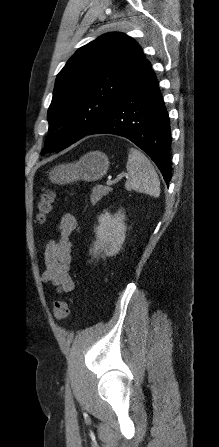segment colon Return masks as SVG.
I'll list each match as a JSON object with an SVG mask.
<instances>
[{
	"mask_svg": "<svg viewBox=\"0 0 219 447\" xmlns=\"http://www.w3.org/2000/svg\"><path fill=\"white\" fill-rule=\"evenodd\" d=\"M55 195L51 190H44L37 204V218L39 221H44L51 212L52 204ZM70 314L69 303L63 300H58L54 303L53 316L56 320L61 321L66 319Z\"/></svg>",
	"mask_w": 219,
	"mask_h": 447,
	"instance_id": "1",
	"label": "colon"
}]
</instances>
